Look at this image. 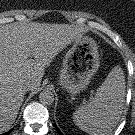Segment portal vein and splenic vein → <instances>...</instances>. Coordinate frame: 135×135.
Here are the masks:
<instances>
[{
	"label": "portal vein and splenic vein",
	"mask_w": 135,
	"mask_h": 135,
	"mask_svg": "<svg viewBox=\"0 0 135 135\" xmlns=\"http://www.w3.org/2000/svg\"><path fill=\"white\" fill-rule=\"evenodd\" d=\"M30 62H31V60H28V61H27V63H30Z\"/></svg>",
	"instance_id": "obj_1"
}]
</instances>
